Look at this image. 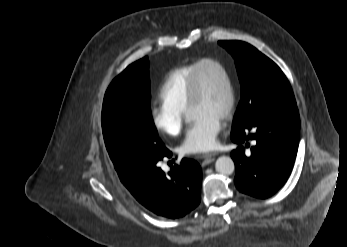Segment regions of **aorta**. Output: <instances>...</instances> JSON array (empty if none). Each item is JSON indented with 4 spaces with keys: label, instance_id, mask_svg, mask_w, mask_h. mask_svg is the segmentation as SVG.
<instances>
[{
    "label": "aorta",
    "instance_id": "aorta-1",
    "mask_svg": "<svg viewBox=\"0 0 347 247\" xmlns=\"http://www.w3.org/2000/svg\"><path fill=\"white\" fill-rule=\"evenodd\" d=\"M189 119L186 118V121ZM215 169L222 175H231L235 170V165L231 157L221 156L216 160Z\"/></svg>",
    "mask_w": 347,
    "mask_h": 247
}]
</instances>
